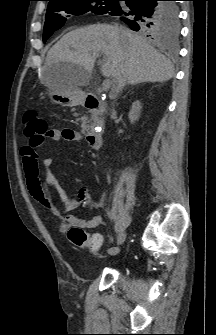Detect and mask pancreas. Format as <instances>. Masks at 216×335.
<instances>
[{
	"instance_id": "1",
	"label": "pancreas",
	"mask_w": 216,
	"mask_h": 335,
	"mask_svg": "<svg viewBox=\"0 0 216 335\" xmlns=\"http://www.w3.org/2000/svg\"><path fill=\"white\" fill-rule=\"evenodd\" d=\"M81 128H82V133H84V132L89 128V125H88V118H87V117H85V118L82 120Z\"/></svg>"
}]
</instances>
